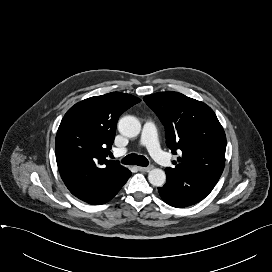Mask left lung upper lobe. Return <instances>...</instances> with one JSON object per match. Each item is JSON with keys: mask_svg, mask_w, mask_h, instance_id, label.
I'll use <instances>...</instances> for the list:
<instances>
[{"mask_svg": "<svg viewBox=\"0 0 272 272\" xmlns=\"http://www.w3.org/2000/svg\"><path fill=\"white\" fill-rule=\"evenodd\" d=\"M144 101L165 127L167 145L173 154L182 156L171 174L190 172L205 178L219 179L225 165L226 136L213 110L203 102L178 92H159Z\"/></svg>", "mask_w": 272, "mask_h": 272, "instance_id": "left-lung-upper-lobe-1", "label": "left lung upper lobe"}]
</instances>
